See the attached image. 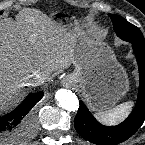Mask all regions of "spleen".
<instances>
[{
  "label": "spleen",
  "mask_w": 145,
  "mask_h": 145,
  "mask_svg": "<svg viewBox=\"0 0 145 145\" xmlns=\"http://www.w3.org/2000/svg\"><path fill=\"white\" fill-rule=\"evenodd\" d=\"M129 106H130L129 103L126 102L124 104L116 106L113 109L100 112L99 115L101 119H103L105 122L115 123L116 121L120 120L126 115Z\"/></svg>",
  "instance_id": "1"
}]
</instances>
